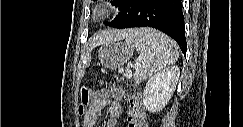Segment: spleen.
Segmentation results:
<instances>
[{
  "label": "spleen",
  "mask_w": 243,
  "mask_h": 127,
  "mask_svg": "<svg viewBox=\"0 0 243 127\" xmlns=\"http://www.w3.org/2000/svg\"><path fill=\"white\" fill-rule=\"evenodd\" d=\"M136 48L139 56L128 67L135 68V84L161 71L178 60L179 51L176 43L165 34L151 29H138L125 38ZM118 72L122 73L123 70Z\"/></svg>",
  "instance_id": "spleen-1"
}]
</instances>
